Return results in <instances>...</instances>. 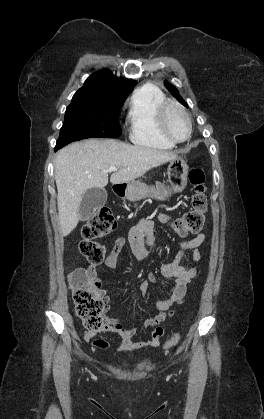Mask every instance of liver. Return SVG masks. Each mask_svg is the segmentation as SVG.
<instances>
[{
	"label": "liver",
	"instance_id": "obj_1",
	"mask_svg": "<svg viewBox=\"0 0 264 419\" xmlns=\"http://www.w3.org/2000/svg\"><path fill=\"white\" fill-rule=\"evenodd\" d=\"M176 152L130 145L114 139H88L61 149L55 159V182L59 224L63 236L77 226L83 194L91 188L108 184L110 166L117 168L112 184L130 183L148 170L171 161Z\"/></svg>",
	"mask_w": 264,
	"mask_h": 419
}]
</instances>
